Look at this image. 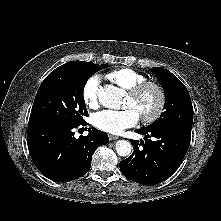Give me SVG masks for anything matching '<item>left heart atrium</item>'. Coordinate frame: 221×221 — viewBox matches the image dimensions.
<instances>
[{
  "label": "left heart atrium",
  "mask_w": 221,
  "mask_h": 221,
  "mask_svg": "<svg viewBox=\"0 0 221 221\" xmlns=\"http://www.w3.org/2000/svg\"><path fill=\"white\" fill-rule=\"evenodd\" d=\"M139 114L128 107L124 110H103L93 115V125L110 134H119L127 128L133 127L139 121Z\"/></svg>",
  "instance_id": "1"
}]
</instances>
